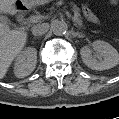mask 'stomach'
I'll return each mask as SVG.
<instances>
[{"instance_id": "obj_1", "label": "stomach", "mask_w": 119, "mask_h": 119, "mask_svg": "<svg viewBox=\"0 0 119 119\" xmlns=\"http://www.w3.org/2000/svg\"><path fill=\"white\" fill-rule=\"evenodd\" d=\"M22 1L27 4H39V3L48 2L50 0H22Z\"/></svg>"}]
</instances>
